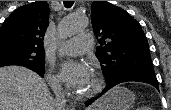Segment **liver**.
<instances>
[{"instance_id":"6515ba94","label":"liver","mask_w":171,"mask_h":110,"mask_svg":"<svg viewBox=\"0 0 171 110\" xmlns=\"http://www.w3.org/2000/svg\"><path fill=\"white\" fill-rule=\"evenodd\" d=\"M102 100L90 107L96 110ZM0 110H56L49 88L35 72L21 66L0 68Z\"/></svg>"}]
</instances>
